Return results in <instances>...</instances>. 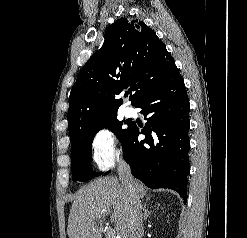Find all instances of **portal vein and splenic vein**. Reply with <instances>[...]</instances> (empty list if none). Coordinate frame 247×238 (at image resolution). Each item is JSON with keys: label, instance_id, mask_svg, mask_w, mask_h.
Masks as SVG:
<instances>
[{"label": "portal vein and splenic vein", "instance_id": "obj_1", "mask_svg": "<svg viewBox=\"0 0 247 238\" xmlns=\"http://www.w3.org/2000/svg\"><path fill=\"white\" fill-rule=\"evenodd\" d=\"M107 238H115V236H116V231L114 230V229H109L108 231H107Z\"/></svg>", "mask_w": 247, "mask_h": 238}]
</instances>
